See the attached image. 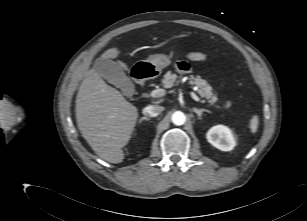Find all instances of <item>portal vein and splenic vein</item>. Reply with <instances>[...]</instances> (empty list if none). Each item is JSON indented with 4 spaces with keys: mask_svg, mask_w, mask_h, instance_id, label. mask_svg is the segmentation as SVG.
<instances>
[{
    "mask_svg": "<svg viewBox=\"0 0 307 221\" xmlns=\"http://www.w3.org/2000/svg\"><path fill=\"white\" fill-rule=\"evenodd\" d=\"M165 94H166V90H164V89H156V90H153V91L150 93V96H151V97L157 98V97H162V96H164ZM190 95H191V97H192L195 101L200 102L199 97H198L194 92H190Z\"/></svg>",
    "mask_w": 307,
    "mask_h": 221,
    "instance_id": "18ae733b",
    "label": "portal vein and splenic vein"
}]
</instances>
